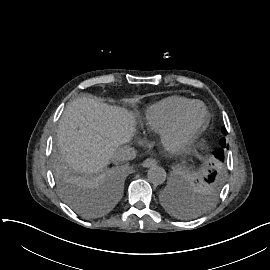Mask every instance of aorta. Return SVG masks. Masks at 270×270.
Masks as SVG:
<instances>
[{
	"label": "aorta",
	"mask_w": 270,
	"mask_h": 270,
	"mask_svg": "<svg viewBox=\"0 0 270 270\" xmlns=\"http://www.w3.org/2000/svg\"><path fill=\"white\" fill-rule=\"evenodd\" d=\"M149 181L153 184H162L166 179V171L157 165L152 166L147 173Z\"/></svg>",
	"instance_id": "1"
}]
</instances>
